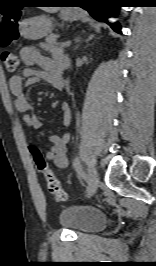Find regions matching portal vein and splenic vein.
Returning <instances> with one entry per match:
<instances>
[{
    "label": "portal vein and splenic vein",
    "instance_id": "portal-vein-and-splenic-vein-1",
    "mask_svg": "<svg viewBox=\"0 0 156 266\" xmlns=\"http://www.w3.org/2000/svg\"><path fill=\"white\" fill-rule=\"evenodd\" d=\"M70 41L59 43V46L62 48H66L70 46Z\"/></svg>",
    "mask_w": 156,
    "mask_h": 266
}]
</instances>
